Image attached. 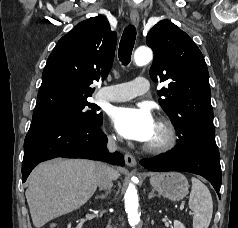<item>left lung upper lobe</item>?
<instances>
[{
	"label": "left lung upper lobe",
	"mask_w": 238,
	"mask_h": 228,
	"mask_svg": "<svg viewBox=\"0 0 238 228\" xmlns=\"http://www.w3.org/2000/svg\"><path fill=\"white\" fill-rule=\"evenodd\" d=\"M147 45L154 52L151 78L168 83L158 91L164 97L159 103L176 128L178 144L189 148L197 140L215 136L208 69L199 48L169 20L149 31Z\"/></svg>",
	"instance_id": "left-lung-upper-lobe-1"
}]
</instances>
